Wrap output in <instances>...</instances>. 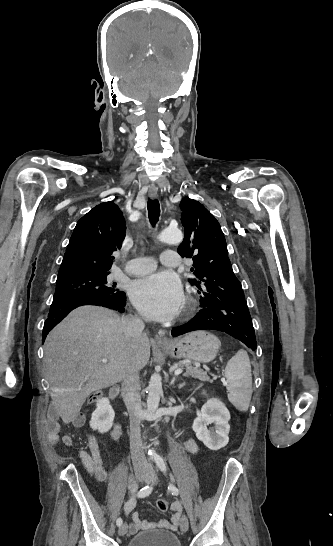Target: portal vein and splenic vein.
<instances>
[{
	"instance_id": "obj_1",
	"label": "portal vein and splenic vein",
	"mask_w": 333,
	"mask_h": 546,
	"mask_svg": "<svg viewBox=\"0 0 333 546\" xmlns=\"http://www.w3.org/2000/svg\"><path fill=\"white\" fill-rule=\"evenodd\" d=\"M102 362H103V363H106V362H107V359H106V358H103V359H102ZM182 372H183V369H182V368H178V369H176V370L174 371V374L177 376V375L181 374Z\"/></svg>"
}]
</instances>
